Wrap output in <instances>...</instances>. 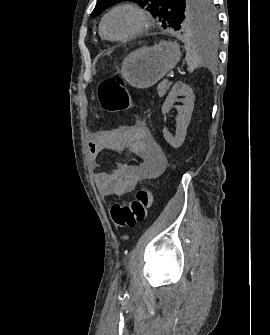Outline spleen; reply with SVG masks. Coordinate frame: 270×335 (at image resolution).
Masks as SVG:
<instances>
[{"mask_svg":"<svg viewBox=\"0 0 270 335\" xmlns=\"http://www.w3.org/2000/svg\"><path fill=\"white\" fill-rule=\"evenodd\" d=\"M180 40L184 42L185 50H186V62L188 64L189 72H193L195 68H198L200 64H204V62H212L214 56L209 52L208 46L206 48H202V44H194V42H188L185 36H181Z\"/></svg>","mask_w":270,"mask_h":335,"instance_id":"obj_1","label":"spleen"}]
</instances>
